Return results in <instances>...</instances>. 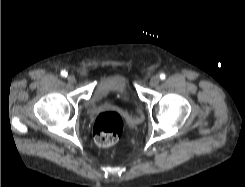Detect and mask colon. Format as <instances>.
<instances>
[{
	"label": "colon",
	"mask_w": 245,
	"mask_h": 187,
	"mask_svg": "<svg viewBox=\"0 0 245 187\" xmlns=\"http://www.w3.org/2000/svg\"><path fill=\"white\" fill-rule=\"evenodd\" d=\"M122 132V119L115 112L101 113L94 121L93 136L99 146L107 147L115 144Z\"/></svg>",
	"instance_id": "obj_1"
}]
</instances>
